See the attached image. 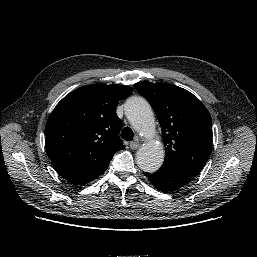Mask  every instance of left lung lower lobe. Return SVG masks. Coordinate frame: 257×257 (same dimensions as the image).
<instances>
[{"label": "left lung lower lobe", "mask_w": 257, "mask_h": 257, "mask_svg": "<svg viewBox=\"0 0 257 257\" xmlns=\"http://www.w3.org/2000/svg\"><path fill=\"white\" fill-rule=\"evenodd\" d=\"M144 174L156 189L165 192L177 190L195 177L187 172L167 166H161L160 169L153 174L146 172H144Z\"/></svg>", "instance_id": "1"}]
</instances>
